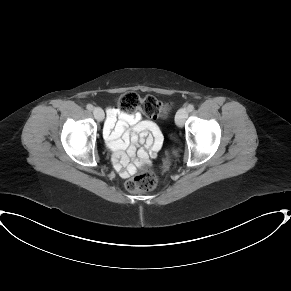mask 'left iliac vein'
I'll list each match as a JSON object with an SVG mask.
<instances>
[{
    "instance_id": "left-iliac-vein-1",
    "label": "left iliac vein",
    "mask_w": 291,
    "mask_h": 291,
    "mask_svg": "<svg viewBox=\"0 0 291 291\" xmlns=\"http://www.w3.org/2000/svg\"><path fill=\"white\" fill-rule=\"evenodd\" d=\"M187 117H188V110L185 108L179 109L175 116V122L177 126L182 127Z\"/></svg>"
}]
</instances>
